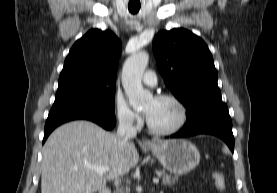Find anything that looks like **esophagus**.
Returning <instances> with one entry per match:
<instances>
[{"mask_svg":"<svg viewBox=\"0 0 277 193\" xmlns=\"http://www.w3.org/2000/svg\"><path fill=\"white\" fill-rule=\"evenodd\" d=\"M143 144H144V145H151V142L148 141V140H143Z\"/></svg>","mask_w":277,"mask_h":193,"instance_id":"esophagus-1","label":"esophagus"}]
</instances>
